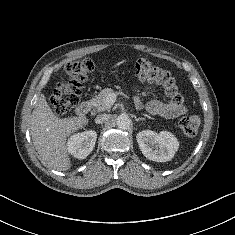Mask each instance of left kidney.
<instances>
[{
    "instance_id": "left-kidney-1",
    "label": "left kidney",
    "mask_w": 235,
    "mask_h": 235,
    "mask_svg": "<svg viewBox=\"0 0 235 235\" xmlns=\"http://www.w3.org/2000/svg\"><path fill=\"white\" fill-rule=\"evenodd\" d=\"M136 139L143 155L156 162L170 161L179 148L177 138L168 131L144 130L137 134Z\"/></svg>"
}]
</instances>
